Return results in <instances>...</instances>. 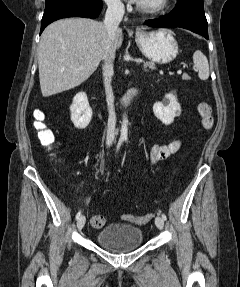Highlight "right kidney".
<instances>
[{
  "label": "right kidney",
  "instance_id": "1",
  "mask_svg": "<svg viewBox=\"0 0 240 287\" xmlns=\"http://www.w3.org/2000/svg\"><path fill=\"white\" fill-rule=\"evenodd\" d=\"M71 121L77 129H85L92 118V109L89 106L85 92H79L73 98L70 106Z\"/></svg>",
  "mask_w": 240,
  "mask_h": 287
}]
</instances>
